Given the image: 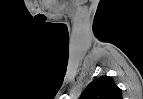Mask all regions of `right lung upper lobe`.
<instances>
[{
	"label": "right lung upper lobe",
	"mask_w": 143,
	"mask_h": 99,
	"mask_svg": "<svg viewBox=\"0 0 143 99\" xmlns=\"http://www.w3.org/2000/svg\"><path fill=\"white\" fill-rule=\"evenodd\" d=\"M80 99H122V91L111 77L101 76L86 87Z\"/></svg>",
	"instance_id": "right-lung-upper-lobe-1"
}]
</instances>
